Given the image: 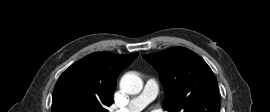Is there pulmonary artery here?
Wrapping results in <instances>:
<instances>
[{"label":"pulmonary artery","instance_id":"pulmonary-artery-1","mask_svg":"<svg viewBox=\"0 0 270 112\" xmlns=\"http://www.w3.org/2000/svg\"><path fill=\"white\" fill-rule=\"evenodd\" d=\"M158 94V85L155 80L149 79L143 91L125 106L116 109L114 112H141L149 103H151Z\"/></svg>","mask_w":270,"mask_h":112}]
</instances>
